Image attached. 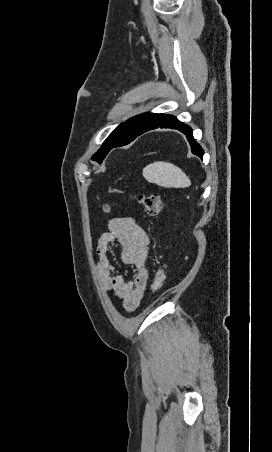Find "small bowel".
<instances>
[{"label":"small bowel","mask_w":272,"mask_h":452,"mask_svg":"<svg viewBox=\"0 0 272 452\" xmlns=\"http://www.w3.org/2000/svg\"><path fill=\"white\" fill-rule=\"evenodd\" d=\"M118 242L121 259L133 267V277L126 281L109 258L110 246ZM97 276L102 289L122 301L126 311H134L142 302L148 280L149 238L138 222L130 217L113 218L97 243Z\"/></svg>","instance_id":"c3829d8e"}]
</instances>
